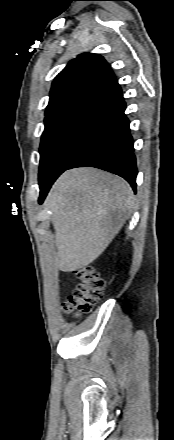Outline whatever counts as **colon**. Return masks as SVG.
I'll return each mask as SVG.
<instances>
[{"mask_svg": "<svg viewBox=\"0 0 174 440\" xmlns=\"http://www.w3.org/2000/svg\"><path fill=\"white\" fill-rule=\"evenodd\" d=\"M79 283L64 303L65 310L75 318L91 311L93 304L102 295L104 281L92 266H83L73 271Z\"/></svg>", "mask_w": 174, "mask_h": 440, "instance_id": "1", "label": "colon"}]
</instances>
